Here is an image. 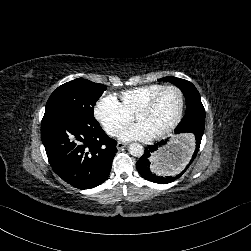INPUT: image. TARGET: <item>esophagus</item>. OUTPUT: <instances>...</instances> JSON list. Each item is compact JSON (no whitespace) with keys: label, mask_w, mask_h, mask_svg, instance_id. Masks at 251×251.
<instances>
[{"label":"esophagus","mask_w":251,"mask_h":251,"mask_svg":"<svg viewBox=\"0 0 251 251\" xmlns=\"http://www.w3.org/2000/svg\"><path fill=\"white\" fill-rule=\"evenodd\" d=\"M125 146H126V144H125L124 142H120V141H119V142L117 143V149H118V150L123 149Z\"/></svg>","instance_id":"obj_1"}]
</instances>
